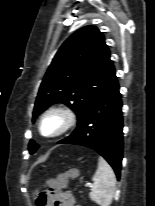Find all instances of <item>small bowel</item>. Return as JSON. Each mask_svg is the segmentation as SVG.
Listing matches in <instances>:
<instances>
[{
  "mask_svg": "<svg viewBox=\"0 0 155 206\" xmlns=\"http://www.w3.org/2000/svg\"><path fill=\"white\" fill-rule=\"evenodd\" d=\"M45 195L46 201L42 206H78L73 195L62 188H49Z\"/></svg>",
  "mask_w": 155,
  "mask_h": 206,
  "instance_id": "small-bowel-1",
  "label": "small bowel"
}]
</instances>
